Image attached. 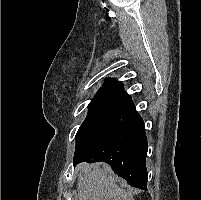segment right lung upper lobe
Segmentation results:
<instances>
[{
    "label": "right lung upper lobe",
    "instance_id": "obj_1",
    "mask_svg": "<svg viewBox=\"0 0 201 200\" xmlns=\"http://www.w3.org/2000/svg\"><path fill=\"white\" fill-rule=\"evenodd\" d=\"M98 92L112 93L119 96L130 98V96L123 91V84L115 81L114 79L106 81L103 87H101Z\"/></svg>",
    "mask_w": 201,
    "mask_h": 200
}]
</instances>
